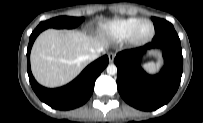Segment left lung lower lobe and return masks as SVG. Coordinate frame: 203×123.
Returning a JSON list of instances; mask_svg holds the SVG:
<instances>
[{
  "label": "left lung lower lobe",
  "instance_id": "0a47b994",
  "mask_svg": "<svg viewBox=\"0 0 203 123\" xmlns=\"http://www.w3.org/2000/svg\"><path fill=\"white\" fill-rule=\"evenodd\" d=\"M154 48L163 51L164 67L157 75H149L140 62L142 55ZM114 63L118 68L117 88L125 102L139 110H156L172 99L180 85L183 71L180 39L174 29L164 30L144 47L119 52Z\"/></svg>",
  "mask_w": 203,
  "mask_h": 123
}]
</instances>
